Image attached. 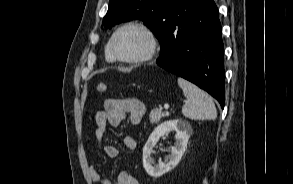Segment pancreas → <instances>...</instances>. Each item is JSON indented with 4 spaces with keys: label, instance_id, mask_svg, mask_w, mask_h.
<instances>
[{
    "label": "pancreas",
    "instance_id": "obj_1",
    "mask_svg": "<svg viewBox=\"0 0 293 184\" xmlns=\"http://www.w3.org/2000/svg\"><path fill=\"white\" fill-rule=\"evenodd\" d=\"M166 116H169L168 112H162L161 109L156 108L150 112L149 119L152 124H157L162 117Z\"/></svg>",
    "mask_w": 293,
    "mask_h": 184
}]
</instances>
